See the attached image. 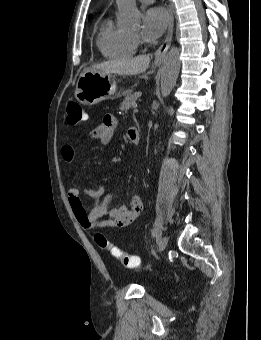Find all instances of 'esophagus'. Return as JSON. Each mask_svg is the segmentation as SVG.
<instances>
[{"mask_svg": "<svg viewBox=\"0 0 261 340\" xmlns=\"http://www.w3.org/2000/svg\"><path fill=\"white\" fill-rule=\"evenodd\" d=\"M165 6L167 7L169 15H170V23H169L167 36H166L164 42L159 46V48L156 50V52L154 54L156 62H161L164 59V57H165V55H166V53H167V51L170 47L172 37H173L174 15H173V9H172L170 0H165Z\"/></svg>", "mask_w": 261, "mask_h": 340, "instance_id": "obj_1", "label": "esophagus"}]
</instances>
